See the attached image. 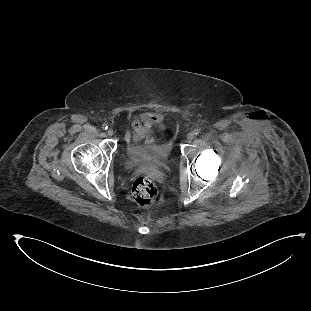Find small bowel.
<instances>
[{
    "mask_svg": "<svg viewBox=\"0 0 311 311\" xmlns=\"http://www.w3.org/2000/svg\"><path fill=\"white\" fill-rule=\"evenodd\" d=\"M163 130L160 118L152 113H143L133 117L131 133L135 142L141 141L149 135H161Z\"/></svg>",
    "mask_w": 311,
    "mask_h": 311,
    "instance_id": "small-bowel-1",
    "label": "small bowel"
}]
</instances>
